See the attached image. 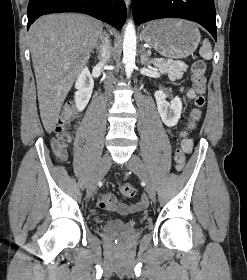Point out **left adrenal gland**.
<instances>
[{
	"label": "left adrenal gland",
	"instance_id": "left-adrenal-gland-1",
	"mask_svg": "<svg viewBox=\"0 0 247 280\" xmlns=\"http://www.w3.org/2000/svg\"><path fill=\"white\" fill-rule=\"evenodd\" d=\"M140 62L142 65H149L151 63V60H150L149 56L147 55L145 48H143V47H142V51H141Z\"/></svg>",
	"mask_w": 247,
	"mask_h": 280
}]
</instances>
